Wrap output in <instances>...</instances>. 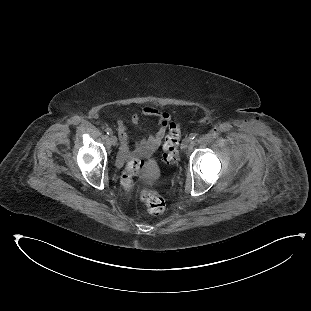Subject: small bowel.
<instances>
[{"label": "small bowel", "mask_w": 311, "mask_h": 311, "mask_svg": "<svg viewBox=\"0 0 311 311\" xmlns=\"http://www.w3.org/2000/svg\"><path fill=\"white\" fill-rule=\"evenodd\" d=\"M142 117H155L158 120L156 132L149 137L139 140L135 144L137 152L146 156H151L160 146L166 134L167 128L171 121V115L166 111H161L156 106H145L139 112H135L131 115L130 123L132 125H136ZM117 131L121 142V156L126 158L129 156L131 151V141L126 123L119 121L117 123Z\"/></svg>", "instance_id": "1"}]
</instances>
